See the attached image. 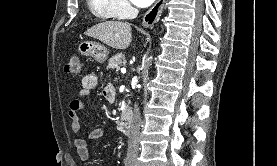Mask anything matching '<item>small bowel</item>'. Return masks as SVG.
Listing matches in <instances>:
<instances>
[{
  "label": "small bowel",
  "instance_id": "obj_1",
  "mask_svg": "<svg viewBox=\"0 0 277 166\" xmlns=\"http://www.w3.org/2000/svg\"><path fill=\"white\" fill-rule=\"evenodd\" d=\"M98 84V76L95 73H88L82 79V89L79 91L77 98L73 99L69 104L68 116L71 121V128L79 134L81 129L79 113L84 109V103L82 98L91 94ZM104 98L112 102L115 98V91L112 86H107L103 90ZM104 135V129L99 127L92 130L88 135L87 139L96 140ZM74 148L79 158L86 162L89 159V151L87 147V140L83 137L77 136L74 139Z\"/></svg>",
  "mask_w": 277,
  "mask_h": 166
}]
</instances>
